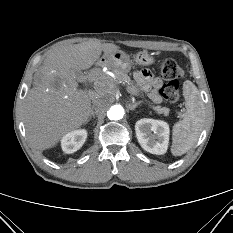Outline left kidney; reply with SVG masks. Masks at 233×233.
Masks as SVG:
<instances>
[{"label": "left kidney", "instance_id": "1", "mask_svg": "<svg viewBox=\"0 0 233 233\" xmlns=\"http://www.w3.org/2000/svg\"><path fill=\"white\" fill-rule=\"evenodd\" d=\"M136 136L141 147L152 154L166 153L169 143V125L161 120L140 119L135 124Z\"/></svg>", "mask_w": 233, "mask_h": 233}]
</instances>
